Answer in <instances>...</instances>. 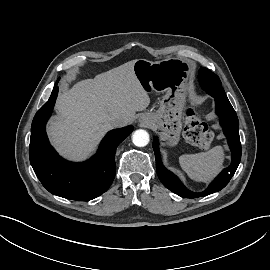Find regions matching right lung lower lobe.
<instances>
[{
    "mask_svg": "<svg viewBox=\"0 0 270 270\" xmlns=\"http://www.w3.org/2000/svg\"><path fill=\"white\" fill-rule=\"evenodd\" d=\"M55 83L49 100L36 113L30 137V163L42 185L52 194L67 199L88 201L103 194L110 187L116 172L115 151L130 135L132 126L110 131L102 140L96 155L82 163L61 158L51 147L45 125L58 94Z\"/></svg>",
    "mask_w": 270,
    "mask_h": 270,
    "instance_id": "right-lung-lower-lobe-1",
    "label": "right lung lower lobe"
}]
</instances>
